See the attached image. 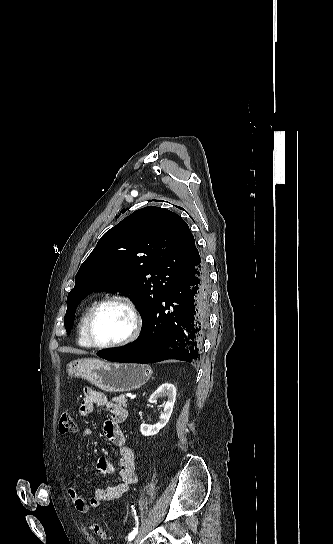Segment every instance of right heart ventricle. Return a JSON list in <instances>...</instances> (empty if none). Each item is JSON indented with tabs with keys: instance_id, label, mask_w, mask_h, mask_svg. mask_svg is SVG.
Instances as JSON below:
<instances>
[{
	"instance_id": "1",
	"label": "right heart ventricle",
	"mask_w": 333,
	"mask_h": 544,
	"mask_svg": "<svg viewBox=\"0 0 333 544\" xmlns=\"http://www.w3.org/2000/svg\"><path fill=\"white\" fill-rule=\"evenodd\" d=\"M95 304H96V302H91L90 304H88L85 307V309L83 310V312L81 313V316H80L79 321H78L77 342L81 347H85V348L92 347L90 345V343L88 342L87 338H86L85 323H86V319H87V316H88L89 312L91 311V309L93 308V306Z\"/></svg>"
}]
</instances>
